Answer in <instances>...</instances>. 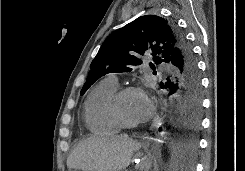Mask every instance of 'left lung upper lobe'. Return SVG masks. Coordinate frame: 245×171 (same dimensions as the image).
<instances>
[{
	"label": "left lung upper lobe",
	"instance_id": "obj_1",
	"mask_svg": "<svg viewBox=\"0 0 245 171\" xmlns=\"http://www.w3.org/2000/svg\"><path fill=\"white\" fill-rule=\"evenodd\" d=\"M188 45L184 35L171 20L157 15L137 18L114 31L102 44L90 65L81 96L90 86L108 73L130 72L142 63L141 57L152 53L153 63H170L174 53Z\"/></svg>",
	"mask_w": 245,
	"mask_h": 171
}]
</instances>
